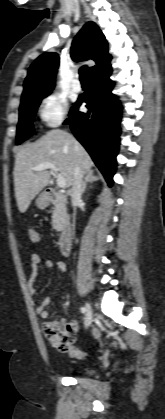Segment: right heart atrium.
Here are the masks:
<instances>
[{
	"instance_id": "1",
	"label": "right heart atrium",
	"mask_w": 165,
	"mask_h": 419,
	"mask_svg": "<svg viewBox=\"0 0 165 419\" xmlns=\"http://www.w3.org/2000/svg\"><path fill=\"white\" fill-rule=\"evenodd\" d=\"M39 115L45 126L50 128L60 126L68 115L66 98L57 92L49 93L40 103Z\"/></svg>"
}]
</instances>
